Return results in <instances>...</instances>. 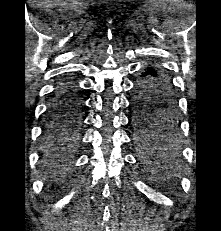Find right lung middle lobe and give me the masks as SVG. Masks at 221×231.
<instances>
[{
	"label": "right lung middle lobe",
	"mask_w": 221,
	"mask_h": 231,
	"mask_svg": "<svg viewBox=\"0 0 221 231\" xmlns=\"http://www.w3.org/2000/svg\"><path fill=\"white\" fill-rule=\"evenodd\" d=\"M81 102L50 103L43 136L47 148L60 149L75 142L82 117Z\"/></svg>",
	"instance_id": "obj_1"
}]
</instances>
